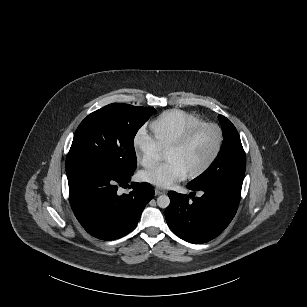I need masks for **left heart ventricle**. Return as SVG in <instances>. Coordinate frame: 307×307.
Instances as JSON below:
<instances>
[{"label":"left heart ventricle","instance_id":"left-heart-ventricle-1","mask_svg":"<svg viewBox=\"0 0 307 307\" xmlns=\"http://www.w3.org/2000/svg\"><path fill=\"white\" fill-rule=\"evenodd\" d=\"M218 143L219 132L214 128H208L184 149L165 152L163 158L179 165L188 175L201 168L211 158Z\"/></svg>","mask_w":307,"mask_h":307}]
</instances>
